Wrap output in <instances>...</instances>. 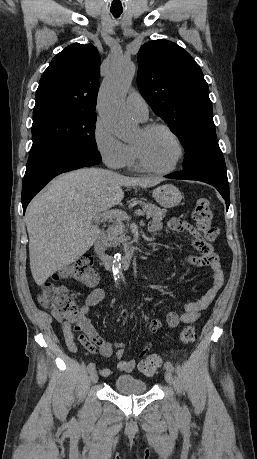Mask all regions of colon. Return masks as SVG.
Instances as JSON below:
<instances>
[{
	"label": "colon",
	"mask_w": 257,
	"mask_h": 459,
	"mask_svg": "<svg viewBox=\"0 0 257 459\" xmlns=\"http://www.w3.org/2000/svg\"><path fill=\"white\" fill-rule=\"evenodd\" d=\"M193 218L198 229L204 238L213 241L217 236V230L212 226V210L210 202L206 198L196 201ZM63 277L71 278L85 285H93L98 281L97 273L93 268V263L88 257H80L71 265L65 267L61 273ZM38 302L45 308L52 310L58 319L73 320L78 311V307L73 298L70 297L68 289L64 285L45 282L38 286ZM197 337L194 325H187L180 333V342L183 344L192 343ZM162 357L153 353L145 357L139 364V370L145 376L153 375L161 366Z\"/></svg>",
	"instance_id": "1"
}]
</instances>
